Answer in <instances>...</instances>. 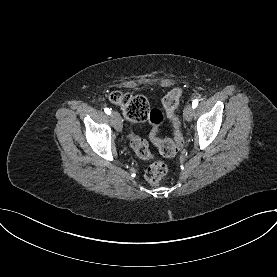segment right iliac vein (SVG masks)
I'll use <instances>...</instances> for the list:
<instances>
[{
	"label": "right iliac vein",
	"instance_id": "1",
	"mask_svg": "<svg viewBox=\"0 0 277 277\" xmlns=\"http://www.w3.org/2000/svg\"><path fill=\"white\" fill-rule=\"evenodd\" d=\"M111 116L115 129L120 132L122 130V120L120 115L117 112H113Z\"/></svg>",
	"mask_w": 277,
	"mask_h": 277
}]
</instances>
